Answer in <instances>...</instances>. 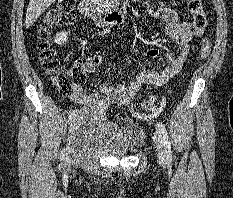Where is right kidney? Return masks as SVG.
I'll return each instance as SVG.
<instances>
[{"label": "right kidney", "mask_w": 233, "mask_h": 198, "mask_svg": "<svg viewBox=\"0 0 233 198\" xmlns=\"http://www.w3.org/2000/svg\"><path fill=\"white\" fill-rule=\"evenodd\" d=\"M68 39V33L67 32H59L56 34V38H55V43L62 45L64 43H66Z\"/></svg>", "instance_id": "right-kidney-1"}]
</instances>
